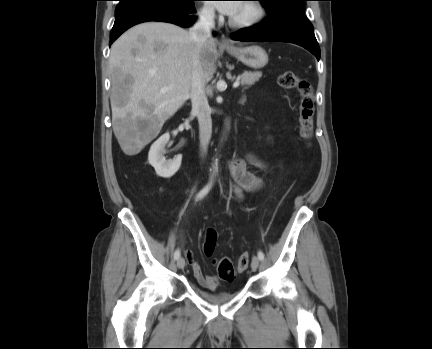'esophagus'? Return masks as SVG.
I'll return each mask as SVG.
<instances>
[{
  "instance_id": "esophagus-1",
  "label": "esophagus",
  "mask_w": 432,
  "mask_h": 349,
  "mask_svg": "<svg viewBox=\"0 0 432 349\" xmlns=\"http://www.w3.org/2000/svg\"><path fill=\"white\" fill-rule=\"evenodd\" d=\"M221 45L223 47H232L233 46L232 43L224 36H222V38H221Z\"/></svg>"
}]
</instances>
